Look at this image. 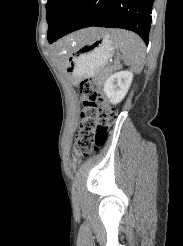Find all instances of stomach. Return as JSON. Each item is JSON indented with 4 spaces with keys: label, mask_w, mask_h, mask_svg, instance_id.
I'll use <instances>...</instances> for the list:
<instances>
[{
    "label": "stomach",
    "mask_w": 183,
    "mask_h": 246,
    "mask_svg": "<svg viewBox=\"0 0 183 246\" xmlns=\"http://www.w3.org/2000/svg\"><path fill=\"white\" fill-rule=\"evenodd\" d=\"M110 32L111 30L102 29L95 38L64 49L67 53V74L72 82L85 76L96 75L105 66L115 49Z\"/></svg>",
    "instance_id": "stomach-1"
}]
</instances>
